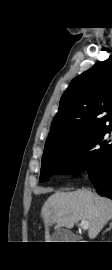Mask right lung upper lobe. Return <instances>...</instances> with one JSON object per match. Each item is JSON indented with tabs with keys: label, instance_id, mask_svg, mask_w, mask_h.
I'll return each instance as SVG.
<instances>
[{
	"label": "right lung upper lobe",
	"instance_id": "1",
	"mask_svg": "<svg viewBox=\"0 0 112 270\" xmlns=\"http://www.w3.org/2000/svg\"><path fill=\"white\" fill-rule=\"evenodd\" d=\"M107 113L104 115V113ZM112 125V55L74 78L61 97L45 147Z\"/></svg>",
	"mask_w": 112,
	"mask_h": 270
}]
</instances>
